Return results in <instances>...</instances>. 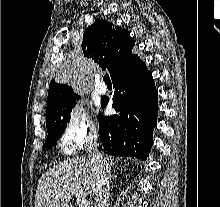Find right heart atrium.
Returning a JSON list of instances; mask_svg holds the SVG:
<instances>
[{
  "label": "right heart atrium",
  "instance_id": "obj_1",
  "mask_svg": "<svg viewBox=\"0 0 220 207\" xmlns=\"http://www.w3.org/2000/svg\"><path fill=\"white\" fill-rule=\"evenodd\" d=\"M98 131L87 113L80 109L73 110L66 118L60 145L67 153H76L96 140Z\"/></svg>",
  "mask_w": 220,
  "mask_h": 207
}]
</instances>
